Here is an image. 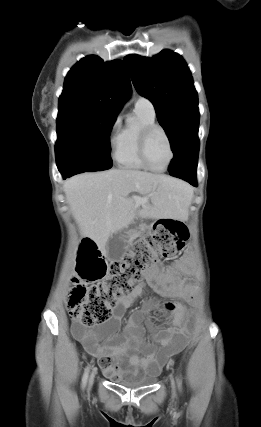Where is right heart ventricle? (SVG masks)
Instances as JSON below:
<instances>
[{
    "mask_svg": "<svg viewBox=\"0 0 261 427\" xmlns=\"http://www.w3.org/2000/svg\"><path fill=\"white\" fill-rule=\"evenodd\" d=\"M137 123L128 124L119 132L118 144L114 152L117 164L129 170H146L138 153V139L142 128L155 124V116L143 110H134Z\"/></svg>",
    "mask_w": 261,
    "mask_h": 427,
    "instance_id": "right-heart-ventricle-1",
    "label": "right heart ventricle"
}]
</instances>
